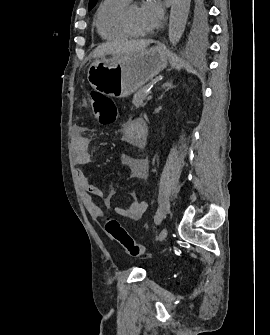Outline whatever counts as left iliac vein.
<instances>
[{
	"mask_svg": "<svg viewBox=\"0 0 270 335\" xmlns=\"http://www.w3.org/2000/svg\"><path fill=\"white\" fill-rule=\"evenodd\" d=\"M167 234H168V230L167 228H163L158 236V240L159 241H163L166 237H167Z\"/></svg>",
	"mask_w": 270,
	"mask_h": 335,
	"instance_id": "left-iliac-vein-1",
	"label": "left iliac vein"
}]
</instances>
